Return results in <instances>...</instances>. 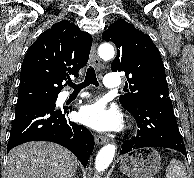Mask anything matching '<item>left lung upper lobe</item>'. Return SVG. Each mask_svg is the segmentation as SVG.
I'll return each mask as SVG.
<instances>
[{
  "label": "left lung upper lobe",
  "mask_w": 194,
  "mask_h": 178,
  "mask_svg": "<svg viewBox=\"0 0 194 178\" xmlns=\"http://www.w3.org/2000/svg\"><path fill=\"white\" fill-rule=\"evenodd\" d=\"M117 47L112 71H123L131 92L120 96L122 106L131 112L140 99H170L162 58L151 38L132 24L117 20L102 34Z\"/></svg>",
  "instance_id": "5c2ea615"
}]
</instances>
